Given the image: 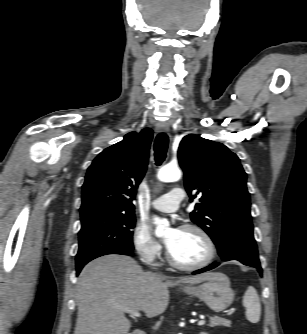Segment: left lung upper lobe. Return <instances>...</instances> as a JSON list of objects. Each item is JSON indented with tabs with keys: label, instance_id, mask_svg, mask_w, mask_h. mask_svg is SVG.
<instances>
[{
	"label": "left lung upper lobe",
	"instance_id": "1",
	"mask_svg": "<svg viewBox=\"0 0 307 334\" xmlns=\"http://www.w3.org/2000/svg\"><path fill=\"white\" fill-rule=\"evenodd\" d=\"M178 159L188 194L201 196L191 219L211 237L218 253L230 236L253 234L247 175L237 155L219 142L189 134L180 143Z\"/></svg>",
	"mask_w": 307,
	"mask_h": 334
}]
</instances>
